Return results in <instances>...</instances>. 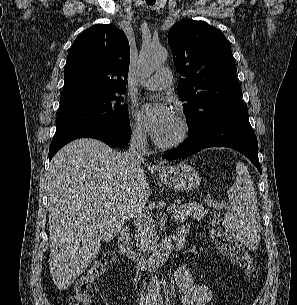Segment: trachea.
Segmentation results:
<instances>
[{"mask_svg":"<svg viewBox=\"0 0 297 305\" xmlns=\"http://www.w3.org/2000/svg\"><path fill=\"white\" fill-rule=\"evenodd\" d=\"M155 2H156V0H146V3H147L148 5H154Z\"/></svg>","mask_w":297,"mask_h":305,"instance_id":"trachea-1","label":"trachea"}]
</instances>
